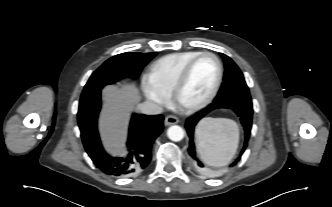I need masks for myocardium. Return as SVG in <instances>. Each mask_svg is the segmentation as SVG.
<instances>
[{
	"instance_id": "f54148a6",
	"label": "myocardium",
	"mask_w": 332,
	"mask_h": 207,
	"mask_svg": "<svg viewBox=\"0 0 332 207\" xmlns=\"http://www.w3.org/2000/svg\"><path fill=\"white\" fill-rule=\"evenodd\" d=\"M205 56L212 57L217 64V77H216L215 83L213 85V88L210 91V93L203 100H201L195 104H185L181 100L182 92L188 82V79L190 77L191 71H192L195 63L199 59H201L202 57H205ZM222 78H223V66H222V63H221L220 59L218 58V56H216L214 53H211V52L199 53L185 65V67L181 71V73L174 85V88L172 90V99H173L175 106L178 109H180L181 111L186 112V113H193V112H196V111H199V110L205 108L216 97V95L220 89V86H221Z\"/></svg>"
}]
</instances>
